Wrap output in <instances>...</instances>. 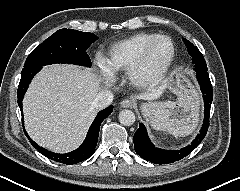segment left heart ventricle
<instances>
[{"label":"left heart ventricle","instance_id":"1","mask_svg":"<svg viewBox=\"0 0 240 191\" xmlns=\"http://www.w3.org/2000/svg\"><path fill=\"white\" fill-rule=\"evenodd\" d=\"M171 54V44L167 40L159 41L152 49L143 70L144 76L157 73L166 63Z\"/></svg>","mask_w":240,"mask_h":191}]
</instances>
